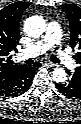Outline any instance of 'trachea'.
<instances>
[{
	"mask_svg": "<svg viewBox=\"0 0 81 124\" xmlns=\"http://www.w3.org/2000/svg\"><path fill=\"white\" fill-rule=\"evenodd\" d=\"M50 60L55 62V63H60V60L58 58L54 57V56L50 57Z\"/></svg>",
	"mask_w": 81,
	"mask_h": 124,
	"instance_id": "1",
	"label": "trachea"
}]
</instances>
